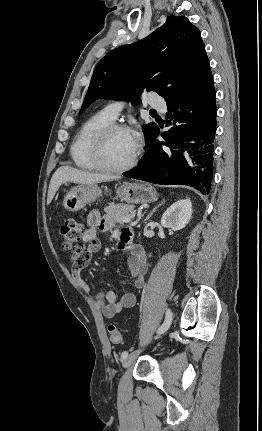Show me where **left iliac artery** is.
<instances>
[{"instance_id": "obj_1", "label": "left iliac artery", "mask_w": 262, "mask_h": 431, "mask_svg": "<svg viewBox=\"0 0 262 431\" xmlns=\"http://www.w3.org/2000/svg\"><path fill=\"white\" fill-rule=\"evenodd\" d=\"M172 315L173 314H172L171 310L167 309L166 310L165 320H164L163 324L160 326V328L157 331L158 334H161V333L165 332L169 328V326H170V324L172 322ZM127 355H128V353L126 351H124L121 354V358L125 359L127 357Z\"/></svg>"}]
</instances>
